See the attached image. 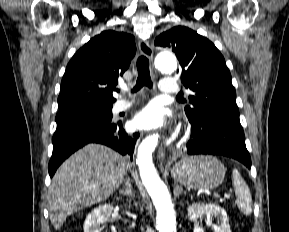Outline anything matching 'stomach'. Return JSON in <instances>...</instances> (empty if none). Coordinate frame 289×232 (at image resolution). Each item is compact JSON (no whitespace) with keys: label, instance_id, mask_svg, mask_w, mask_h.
Wrapping results in <instances>:
<instances>
[{"label":"stomach","instance_id":"obj_1","mask_svg":"<svg viewBox=\"0 0 289 232\" xmlns=\"http://www.w3.org/2000/svg\"><path fill=\"white\" fill-rule=\"evenodd\" d=\"M226 169L216 158L196 156L176 163L171 169L174 181L187 188L209 190L217 188L224 180Z\"/></svg>","mask_w":289,"mask_h":232}]
</instances>
